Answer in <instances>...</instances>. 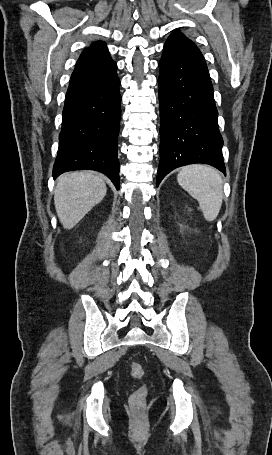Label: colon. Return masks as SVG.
I'll return each mask as SVG.
<instances>
[{
    "instance_id": "obj_1",
    "label": "colon",
    "mask_w": 272,
    "mask_h": 455,
    "mask_svg": "<svg viewBox=\"0 0 272 455\" xmlns=\"http://www.w3.org/2000/svg\"><path fill=\"white\" fill-rule=\"evenodd\" d=\"M130 372L132 376L136 379H142L144 376V369L141 364L133 362L130 364ZM147 394V388L141 386L137 389L131 396L130 402L131 406L135 411H140L142 408Z\"/></svg>"
}]
</instances>
